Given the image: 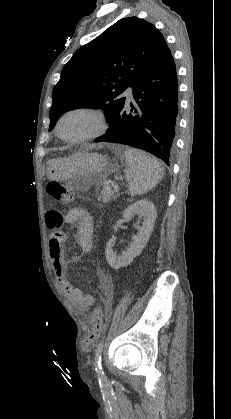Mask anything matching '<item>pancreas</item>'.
I'll return each mask as SVG.
<instances>
[{
    "label": "pancreas",
    "mask_w": 231,
    "mask_h": 419,
    "mask_svg": "<svg viewBox=\"0 0 231 419\" xmlns=\"http://www.w3.org/2000/svg\"><path fill=\"white\" fill-rule=\"evenodd\" d=\"M112 198H114L113 191L111 188H107V186H104L100 196L98 197V200L102 201L103 203H109Z\"/></svg>",
    "instance_id": "cf45deb5"
}]
</instances>
